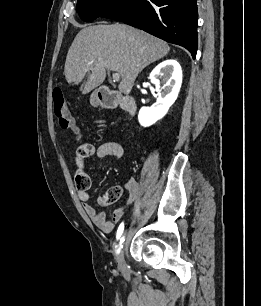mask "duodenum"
I'll return each instance as SVG.
<instances>
[{"label": "duodenum", "instance_id": "1", "mask_svg": "<svg viewBox=\"0 0 261 306\" xmlns=\"http://www.w3.org/2000/svg\"><path fill=\"white\" fill-rule=\"evenodd\" d=\"M97 99L99 104L104 108L120 107L131 115L136 111V102L134 98L113 92L106 87L99 89Z\"/></svg>", "mask_w": 261, "mask_h": 306}]
</instances>
